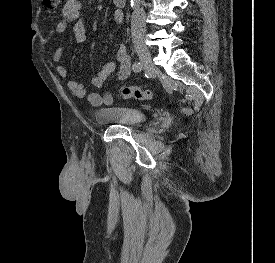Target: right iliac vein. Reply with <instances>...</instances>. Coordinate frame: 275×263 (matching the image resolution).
Returning <instances> with one entry per match:
<instances>
[{
    "label": "right iliac vein",
    "mask_w": 275,
    "mask_h": 263,
    "mask_svg": "<svg viewBox=\"0 0 275 263\" xmlns=\"http://www.w3.org/2000/svg\"><path fill=\"white\" fill-rule=\"evenodd\" d=\"M134 45L137 51V54L139 56L140 61L142 64L146 67L150 66L151 62V53L145 44L144 40L142 38H136L134 40Z\"/></svg>",
    "instance_id": "63e3f726"
}]
</instances>
